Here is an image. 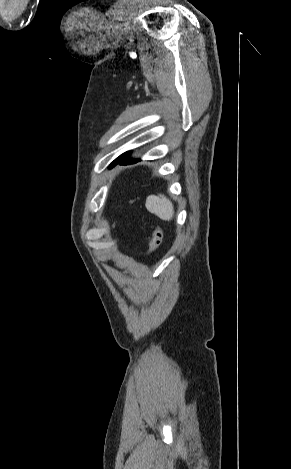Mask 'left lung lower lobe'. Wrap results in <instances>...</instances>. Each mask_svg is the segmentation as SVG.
<instances>
[{
    "mask_svg": "<svg viewBox=\"0 0 291 469\" xmlns=\"http://www.w3.org/2000/svg\"><path fill=\"white\" fill-rule=\"evenodd\" d=\"M136 161L138 160H131L129 158V152L125 153L121 158H119L115 164L119 163V164H131V163H135ZM114 164V165H115Z\"/></svg>",
    "mask_w": 291,
    "mask_h": 469,
    "instance_id": "1",
    "label": "left lung lower lobe"
}]
</instances>
